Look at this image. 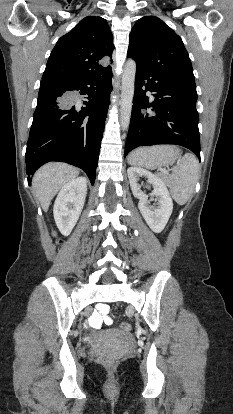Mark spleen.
<instances>
[{"instance_id":"1","label":"spleen","mask_w":233,"mask_h":414,"mask_svg":"<svg viewBox=\"0 0 233 414\" xmlns=\"http://www.w3.org/2000/svg\"><path fill=\"white\" fill-rule=\"evenodd\" d=\"M138 150V149H137ZM137 150L133 151L128 162L132 165L141 166L134 158ZM164 182L169 186L173 199L179 204L184 205L193 196L195 185L200 177V165L193 154H186L181 162L172 168V174H161Z\"/></svg>"}]
</instances>
